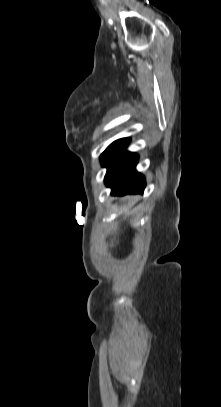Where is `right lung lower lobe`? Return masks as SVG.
Returning <instances> with one entry per match:
<instances>
[{
    "label": "right lung lower lobe",
    "mask_w": 221,
    "mask_h": 407,
    "mask_svg": "<svg viewBox=\"0 0 221 407\" xmlns=\"http://www.w3.org/2000/svg\"><path fill=\"white\" fill-rule=\"evenodd\" d=\"M129 141L123 150L107 166L105 184L117 195L143 193L145 178L136 171L138 155L126 151Z\"/></svg>",
    "instance_id": "obj_1"
}]
</instances>
